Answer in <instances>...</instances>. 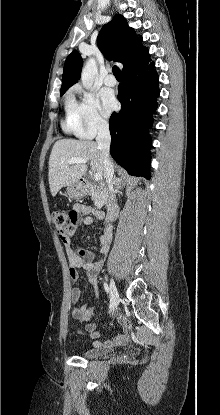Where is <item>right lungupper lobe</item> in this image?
<instances>
[{"label": "right lung upper lobe", "mask_w": 220, "mask_h": 415, "mask_svg": "<svg viewBox=\"0 0 220 415\" xmlns=\"http://www.w3.org/2000/svg\"><path fill=\"white\" fill-rule=\"evenodd\" d=\"M141 42L142 37L136 35L120 14L115 15L102 27L97 38V45L106 58L123 64L122 73L139 68L150 60L147 57L149 50L142 47ZM82 63V58L77 51H73L67 57L60 92H66L80 79Z\"/></svg>", "instance_id": "1"}]
</instances>
